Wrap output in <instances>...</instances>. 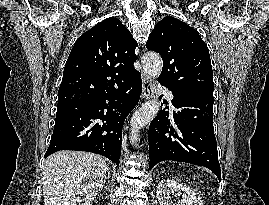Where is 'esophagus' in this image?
Here are the masks:
<instances>
[{
    "mask_svg": "<svg viewBox=\"0 0 269 205\" xmlns=\"http://www.w3.org/2000/svg\"><path fill=\"white\" fill-rule=\"evenodd\" d=\"M154 96L152 80L145 74H142V98L148 100Z\"/></svg>",
    "mask_w": 269,
    "mask_h": 205,
    "instance_id": "34e87169",
    "label": "esophagus"
}]
</instances>
